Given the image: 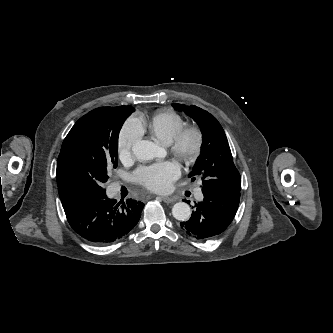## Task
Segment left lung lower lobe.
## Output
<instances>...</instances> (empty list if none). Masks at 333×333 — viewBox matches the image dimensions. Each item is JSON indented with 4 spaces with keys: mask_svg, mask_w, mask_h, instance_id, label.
<instances>
[{
    "mask_svg": "<svg viewBox=\"0 0 333 333\" xmlns=\"http://www.w3.org/2000/svg\"><path fill=\"white\" fill-rule=\"evenodd\" d=\"M202 202L195 203L191 218L180 223L189 236L207 239L221 234L232 222L239 206L240 193H216L202 189Z\"/></svg>",
    "mask_w": 333,
    "mask_h": 333,
    "instance_id": "1",
    "label": "left lung lower lobe"
}]
</instances>
